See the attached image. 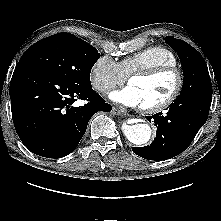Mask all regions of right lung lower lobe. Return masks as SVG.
Segmentation results:
<instances>
[{
  "label": "right lung lower lobe",
  "mask_w": 221,
  "mask_h": 221,
  "mask_svg": "<svg viewBox=\"0 0 221 221\" xmlns=\"http://www.w3.org/2000/svg\"><path fill=\"white\" fill-rule=\"evenodd\" d=\"M14 126L24 145L47 158L71 153L85 134L89 119L111 106L91 86L62 80L37 66L17 64L9 89ZM77 99L87 100L74 107Z\"/></svg>",
  "instance_id": "right-lung-lower-lobe-1"
}]
</instances>
